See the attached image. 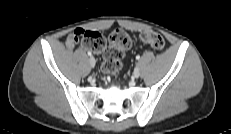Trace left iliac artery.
Here are the masks:
<instances>
[{
	"label": "left iliac artery",
	"instance_id": "left-iliac-artery-1",
	"mask_svg": "<svg viewBox=\"0 0 231 134\" xmlns=\"http://www.w3.org/2000/svg\"><path fill=\"white\" fill-rule=\"evenodd\" d=\"M136 59H137V60H139V59H140V56H139V55H137V56H136Z\"/></svg>",
	"mask_w": 231,
	"mask_h": 134
}]
</instances>
